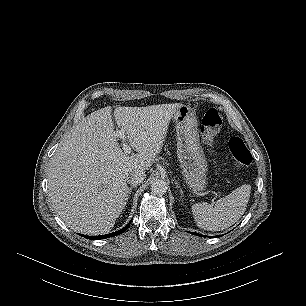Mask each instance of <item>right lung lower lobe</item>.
<instances>
[{
	"mask_svg": "<svg viewBox=\"0 0 306 306\" xmlns=\"http://www.w3.org/2000/svg\"><path fill=\"white\" fill-rule=\"evenodd\" d=\"M130 223L131 222H129L124 228H122V229H120L116 232L110 233V234L98 235V236H86V235H81V236H83L85 238H88V239H92V240H99V239H104V238H108V237H113V236H116V235H119V234L125 232L129 228Z\"/></svg>",
	"mask_w": 306,
	"mask_h": 306,
	"instance_id": "1",
	"label": "right lung lower lobe"
}]
</instances>
